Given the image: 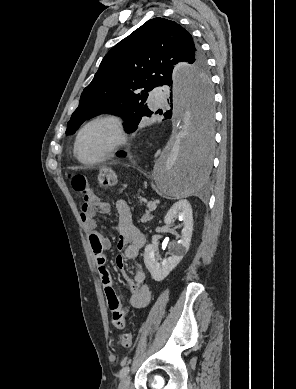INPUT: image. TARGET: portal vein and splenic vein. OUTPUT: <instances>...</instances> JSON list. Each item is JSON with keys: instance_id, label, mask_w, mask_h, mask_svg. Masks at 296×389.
I'll list each match as a JSON object with an SVG mask.
<instances>
[{"instance_id": "1", "label": "portal vein and splenic vein", "mask_w": 296, "mask_h": 389, "mask_svg": "<svg viewBox=\"0 0 296 389\" xmlns=\"http://www.w3.org/2000/svg\"><path fill=\"white\" fill-rule=\"evenodd\" d=\"M159 201H151V202H149L148 204H147V207L149 208V209H152V210H154V209H156V204L158 203Z\"/></svg>"}]
</instances>
